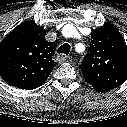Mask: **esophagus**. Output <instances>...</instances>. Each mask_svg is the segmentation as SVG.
I'll return each instance as SVG.
<instances>
[{
	"label": "esophagus",
	"mask_w": 127,
	"mask_h": 127,
	"mask_svg": "<svg viewBox=\"0 0 127 127\" xmlns=\"http://www.w3.org/2000/svg\"><path fill=\"white\" fill-rule=\"evenodd\" d=\"M68 56L67 55H64V54H58L56 59L58 62H65L68 60Z\"/></svg>",
	"instance_id": "esophagus-1"
}]
</instances>
